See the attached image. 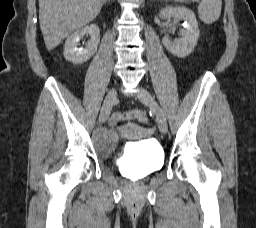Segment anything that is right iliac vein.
<instances>
[{
    "instance_id": "1",
    "label": "right iliac vein",
    "mask_w": 256,
    "mask_h": 228,
    "mask_svg": "<svg viewBox=\"0 0 256 228\" xmlns=\"http://www.w3.org/2000/svg\"><path fill=\"white\" fill-rule=\"evenodd\" d=\"M117 98V92L114 88L110 89L105 97L103 106L101 108L99 121L104 123L111 112L112 106Z\"/></svg>"
}]
</instances>
